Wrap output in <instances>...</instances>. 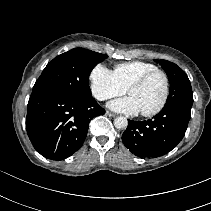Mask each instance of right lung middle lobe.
<instances>
[{"instance_id":"right-lung-middle-lobe-1","label":"right lung middle lobe","mask_w":211,"mask_h":211,"mask_svg":"<svg viewBox=\"0 0 211 211\" xmlns=\"http://www.w3.org/2000/svg\"><path fill=\"white\" fill-rule=\"evenodd\" d=\"M84 48H74L55 57L36 81L32 93H59L77 99L92 97L89 75L92 68L107 58Z\"/></svg>"}]
</instances>
